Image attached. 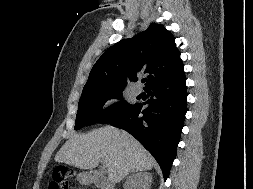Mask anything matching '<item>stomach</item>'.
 Returning <instances> with one entry per match:
<instances>
[{
  "label": "stomach",
  "mask_w": 253,
  "mask_h": 189,
  "mask_svg": "<svg viewBox=\"0 0 253 189\" xmlns=\"http://www.w3.org/2000/svg\"><path fill=\"white\" fill-rule=\"evenodd\" d=\"M78 179H79L81 182H87V181H88V180L86 179V176L83 175V174H80V175L78 176Z\"/></svg>",
  "instance_id": "obj_1"
}]
</instances>
